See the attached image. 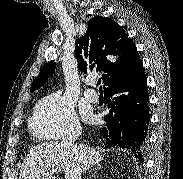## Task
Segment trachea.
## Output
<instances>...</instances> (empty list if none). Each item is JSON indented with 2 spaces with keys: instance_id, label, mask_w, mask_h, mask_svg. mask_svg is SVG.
Instances as JSON below:
<instances>
[{
  "instance_id": "3493384b",
  "label": "trachea",
  "mask_w": 183,
  "mask_h": 179,
  "mask_svg": "<svg viewBox=\"0 0 183 179\" xmlns=\"http://www.w3.org/2000/svg\"><path fill=\"white\" fill-rule=\"evenodd\" d=\"M100 84H101V81H100V79H99L98 82H97V84H96V86H99ZM99 90H100V91L102 90V86L99 87Z\"/></svg>"
}]
</instances>
